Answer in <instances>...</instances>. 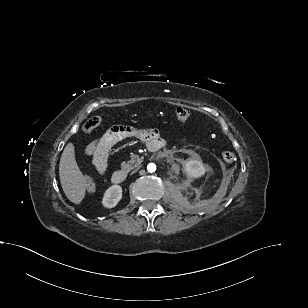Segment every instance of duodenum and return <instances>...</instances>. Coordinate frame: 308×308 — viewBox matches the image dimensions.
<instances>
[{"label": "duodenum", "instance_id": "1", "mask_svg": "<svg viewBox=\"0 0 308 308\" xmlns=\"http://www.w3.org/2000/svg\"><path fill=\"white\" fill-rule=\"evenodd\" d=\"M163 146V142L161 141H152L151 143H149L147 145V150L149 152H157L158 150H161ZM127 174L125 171L123 170H116L115 172H113L112 176H111V181L114 184H121L126 180Z\"/></svg>", "mask_w": 308, "mask_h": 308}]
</instances>
